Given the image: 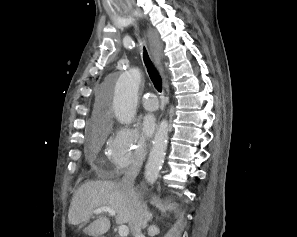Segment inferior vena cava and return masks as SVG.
I'll use <instances>...</instances> for the list:
<instances>
[{"mask_svg":"<svg viewBox=\"0 0 297 237\" xmlns=\"http://www.w3.org/2000/svg\"><path fill=\"white\" fill-rule=\"evenodd\" d=\"M139 167L133 166L127 170L119 182V186L124 192L130 208V230L133 237L141 236V228L143 223V218L146 215L147 207L139 198L138 194L134 190V180L138 175Z\"/></svg>","mask_w":297,"mask_h":237,"instance_id":"inferior-vena-cava-1","label":"inferior vena cava"}]
</instances>
